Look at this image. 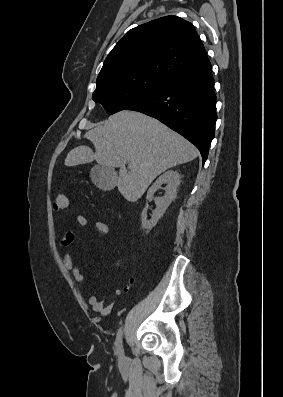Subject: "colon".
Listing matches in <instances>:
<instances>
[{
    "instance_id": "5ec220e1",
    "label": "colon",
    "mask_w": 283,
    "mask_h": 397,
    "mask_svg": "<svg viewBox=\"0 0 283 397\" xmlns=\"http://www.w3.org/2000/svg\"><path fill=\"white\" fill-rule=\"evenodd\" d=\"M54 207L56 210H66L69 207V199L66 194L59 192L54 199Z\"/></svg>"
}]
</instances>
